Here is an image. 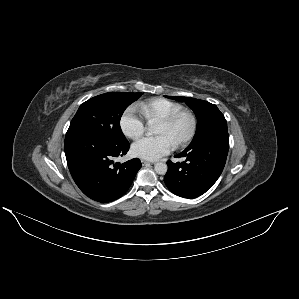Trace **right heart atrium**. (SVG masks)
Returning <instances> with one entry per match:
<instances>
[{
    "mask_svg": "<svg viewBox=\"0 0 299 299\" xmlns=\"http://www.w3.org/2000/svg\"><path fill=\"white\" fill-rule=\"evenodd\" d=\"M121 129L124 134L132 139L140 137L146 130L143 116L134 106L129 107L120 120Z\"/></svg>",
    "mask_w": 299,
    "mask_h": 299,
    "instance_id": "1",
    "label": "right heart atrium"
}]
</instances>
